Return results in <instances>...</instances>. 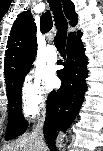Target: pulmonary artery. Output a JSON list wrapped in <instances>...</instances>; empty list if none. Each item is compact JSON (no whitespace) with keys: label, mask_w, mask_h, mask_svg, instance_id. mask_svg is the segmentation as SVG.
I'll return each mask as SVG.
<instances>
[{"label":"pulmonary artery","mask_w":103,"mask_h":151,"mask_svg":"<svg viewBox=\"0 0 103 151\" xmlns=\"http://www.w3.org/2000/svg\"><path fill=\"white\" fill-rule=\"evenodd\" d=\"M45 58H46V61L50 64H54L57 62L58 56H57L55 47L53 45L47 46L46 51H45Z\"/></svg>","instance_id":"e3ab8cb5"}]
</instances>
